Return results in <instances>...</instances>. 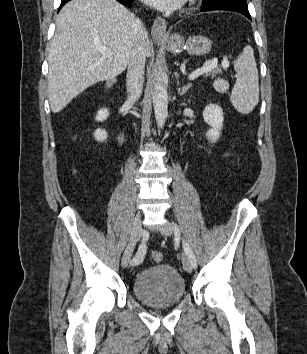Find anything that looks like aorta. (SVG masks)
I'll list each match as a JSON object with an SVG mask.
<instances>
[{
	"label": "aorta",
	"mask_w": 307,
	"mask_h": 354,
	"mask_svg": "<svg viewBox=\"0 0 307 354\" xmlns=\"http://www.w3.org/2000/svg\"><path fill=\"white\" fill-rule=\"evenodd\" d=\"M165 76L159 67L153 91V107L157 126L163 128L168 117V93L163 83Z\"/></svg>",
	"instance_id": "1"
}]
</instances>
